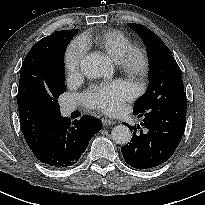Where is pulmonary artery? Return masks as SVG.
<instances>
[{"label": "pulmonary artery", "instance_id": "1", "mask_svg": "<svg viewBox=\"0 0 205 205\" xmlns=\"http://www.w3.org/2000/svg\"><path fill=\"white\" fill-rule=\"evenodd\" d=\"M75 106L72 104H65L63 106V112L65 115L71 113L74 110Z\"/></svg>", "mask_w": 205, "mask_h": 205}]
</instances>
